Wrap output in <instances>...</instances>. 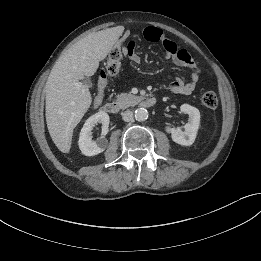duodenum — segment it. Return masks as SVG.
I'll use <instances>...</instances> for the list:
<instances>
[{"instance_id": "obj_1", "label": "duodenum", "mask_w": 261, "mask_h": 261, "mask_svg": "<svg viewBox=\"0 0 261 261\" xmlns=\"http://www.w3.org/2000/svg\"><path fill=\"white\" fill-rule=\"evenodd\" d=\"M156 104L155 97L144 98L140 101V105L144 108H151ZM120 110V106L116 102H108L101 107V111L108 114H116Z\"/></svg>"}]
</instances>
